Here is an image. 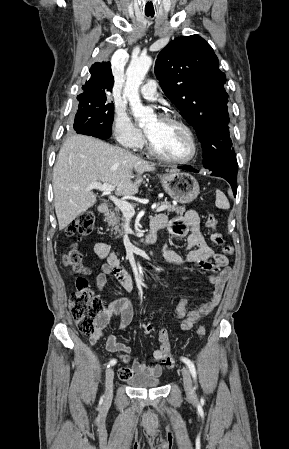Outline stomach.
<instances>
[{
    "label": "stomach",
    "instance_id": "stomach-1",
    "mask_svg": "<svg viewBox=\"0 0 289 449\" xmlns=\"http://www.w3.org/2000/svg\"><path fill=\"white\" fill-rule=\"evenodd\" d=\"M165 192L182 204L192 202L200 193L197 180L189 173L171 170L160 176Z\"/></svg>",
    "mask_w": 289,
    "mask_h": 449
}]
</instances>
